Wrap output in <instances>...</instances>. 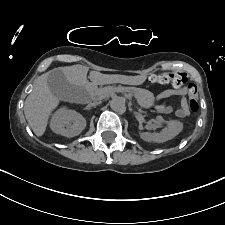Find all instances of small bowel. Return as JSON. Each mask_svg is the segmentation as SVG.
Instances as JSON below:
<instances>
[{"label": "small bowel", "instance_id": "c3829d8e", "mask_svg": "<svg viewBox=\"0 0 225 225\" xmlns=\"http://www.w3.org/2000/svg\"><path fill=\"white\" fill-rule=\"evenodd\" d=\"M187 92H188V89L186 87L177 88L174 90H166L161 94L160 97L162 98L178 97L180 99V103L175 110V115L179 118H184L188 116L189 114L186 100H185V96ZM156 110L162 114H170L173 112V107L168 104H160L156 107Z\"/></svg>", "mask_w": 225, "mask_h": 225}]
</instances>
